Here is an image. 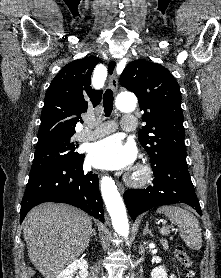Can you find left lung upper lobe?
Segmentation results:
<instances>
[{
  "label": "left lung upper lobe",
  "instance_id": "5c2ea615",
  "mask_svg": "<svg viewBox=\"0 0 221 278\" xmlns=\"http://www.w3.org/2000/svg\"><path fill=\"white\" fill-rule=\"evenodd\" d=\"M121 86L136 94L146 125L138 139L151 167L173 157H186L179 85L162 65L146 60L131 62L120 77Z\"/></svg>",
  "mask_w": 221,
  "mask_h": 278
}]
</instances>
